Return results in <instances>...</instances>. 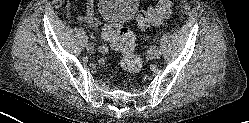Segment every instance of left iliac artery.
<instances>
[{"label":"left iliac artery","instance_id":"44dca946","mask_svg":"<svg viewBox=\"0 0 249 123\" xmlns=\"http://www.w3.org/2000/svg\"><path fill=\"white\" fill-rule=\"evenodd\" d=\"M161 56V52L159 49L156 50V58H160Z\"/></svg>","mask_w":249,"mask_h":123}]
</instances>
